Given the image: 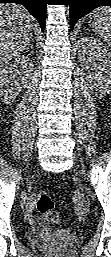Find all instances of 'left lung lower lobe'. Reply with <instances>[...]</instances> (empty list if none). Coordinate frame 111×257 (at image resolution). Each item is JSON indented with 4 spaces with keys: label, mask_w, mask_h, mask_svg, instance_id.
Returning <instances> with one entry per match:
<instances>
[{
    "label": "left lung lower lobe",
    "mask_w": 111,
    "mask_h": 257,
    "mask_svg": "<svg viewBox=\"0 0 111 257\" xmlns=\"http://www.w3.org/2000/svg\"><path fill=\"white\" fill-rule=\"evenodd\" d=\"M70 23L73 29L81 17L99 6H111V0H70Z\"/></svg>",
    "instance_id": "0a47b994"
}]
</instances>
